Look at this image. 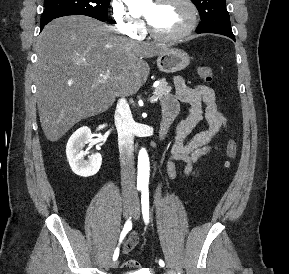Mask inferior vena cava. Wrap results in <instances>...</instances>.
I'll use <instances>...</instances> for the list:
<instances>
[{
  "label": "inferior vena cava",
  "mask_w": 289,
  "mask_h": 274,
  "mask_svg": "<svg viewBox=\"0 0 289 274\" xmlns=\"http://www.w3.org/2000/svg\"><path fill=\"white\" fill-rule=\"evenodd\" d=\"M114 118L118 132L122 193L124 196L134 195V120L125 98L119 99Z\"/></svg>",
  "instance_id": "obj_1"
}]
</instances>
